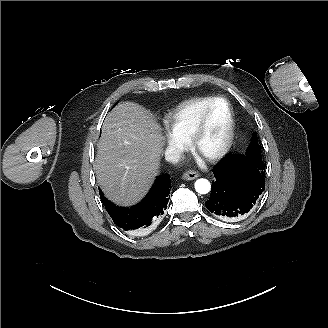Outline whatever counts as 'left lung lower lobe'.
Wrapping results in <instances>:
<instances>
[{"mask_svg":"<svg viewBox=\"0 0 328 328\" xmlns=\"http://www.w3.org/2000/svg\"><path fill=\"white\" fill-rule=\"evenodd\" d=\"M265 167L260 146L249 154H228L213 168L216 181L206 208L223 220L246 215L264 191Z\"/></svg>","mask_w":328,"mask_h":328,"instance_id":"1","label":"left lung lower lobe"}]
</instances>
